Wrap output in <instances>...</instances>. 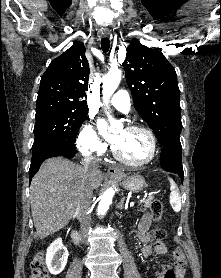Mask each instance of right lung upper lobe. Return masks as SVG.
I'll use <instances>...</instances> for the list:
<instances>
[{
  "mask_svg": "<svg viewBox=\"0 0 221 278\" xmlns=\"http://www.w3.org/2000/svg\"><path fill=\"white\" fill-rule=\"evenodd\" d=\"M85 47L75 42L54 59L43 74L37 97V108L56 107L88 111L85 100L89 79Z\"/></svg>",
  "mask_w": 221,
  "mask_h": 278,
  "instance_id": "right-lung-upper-lobe-1",
  "label": "right lung upper lobe"
}]
</instances>
